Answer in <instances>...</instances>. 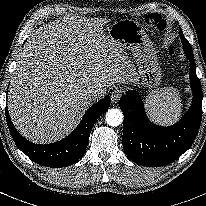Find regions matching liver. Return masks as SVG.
I'll list each match as a JSON object with an SVG mask.
<instances>
[{
  "label": "liver",
  "mask_w": 206,
  "mask_h": 206,
  "mask_svg": "<svg viewBox=\"0 0 206 206\" xmlns=\"http://www.w3.org/2000/svg\"><path fill=\"white\" fill-rule=\"evenodd\" d=\"M104 19L64 16L26 42L9 87L16 129L36 143L68 135L92 105L89 94L131 84L136 70L126 51L102 30Z\"/></svg>",
  "instance_id": "obj_1"
}]
</instances>
